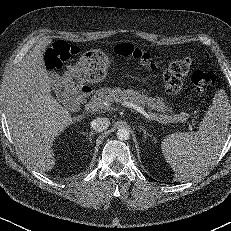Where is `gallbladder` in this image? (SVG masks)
Wrapping results in <instances>:
<instances>
[{
	"instance_id": "1",
	"label": "gallbladder",
	"mask_w": 231,
	"mask_h": 231,
	"mask_svg": "<svg viewBox=\"0 0 231 231\" xmlns=\"http://www.w3.org/2000/svg\"><path fill=\"white\" fill-rule=\"evenodd\" d=\"M49 77L52 80L51 87L55 91H60L62 85H61V78H60L59 74H57V73H49Z\"/></svg>"
}]
</instances>
